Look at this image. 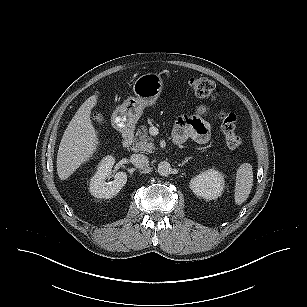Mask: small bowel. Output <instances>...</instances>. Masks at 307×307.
Segmentation results:
<instances>
[{
    "instance_id": "c3829d8e",
    "label": "small bowel",
    "mask_w": 307,
    "mask_h": 307,
    "mask_svg": "<svg viewBox=\"0 0 307 307\" xmlns=\"http://www.w3.org/2000/svg\"><path fill=\"white\" fill-rule=\"evenodd\" d=\"M208 114L206 106H198L192 116H185L178 119L174 130L173 139L176 144H182L187 139H192L199 144L209 142L211 138V128L205 120Z\"/></svg>"
}]
</instances>
